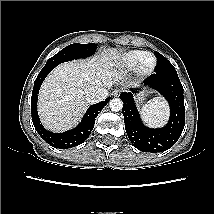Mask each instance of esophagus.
I'll list each match as a JSON object with an SVG mask.
<instances>
[{
    "instance_id": "34e87169",
    "label": "esophagus",
    "mask_w": 214,
    "mask_h": 214,
    "mask_svg": "<svg viewBox=\"0 0 214 214\" xmlns=\"http://www.w3.org/2000/svg\"><path fill=\"white\" fill-rule=\"evenodd\" d=\"M119 94H120V89H115V90L112 92V95H113L114 97H117Z\"/></svg>"
}]
</instances>
